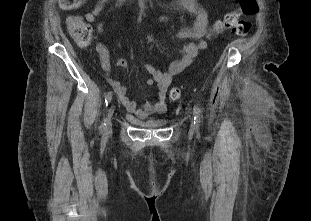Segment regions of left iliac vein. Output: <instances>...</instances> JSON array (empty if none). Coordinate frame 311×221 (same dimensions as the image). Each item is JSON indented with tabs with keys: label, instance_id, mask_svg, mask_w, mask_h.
I'll use <instances>...</instances> for the list:
<instances>
[{
	"label": "left iliac vein",
	"instance_id": "4c4485c4",
	"mask_svg": "<svg viewBox=\"0 0 311 221\" xmlns=\"http://www.w3.org/2000/svg\"><path fill=\"white\" fill-rule=\"evenodd\" d=\"M191 128H192V129H195V128H196L195 123H192V124H191Z\"/></svg>",
	"mask_w": 311,
	"mask_h": 221
}]
</instances>
